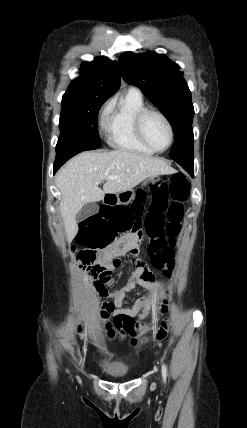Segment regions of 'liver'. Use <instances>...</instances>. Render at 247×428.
Returning <instances> with one entry per match:
<instances>
[{
    "label": "liver",
    "instance_id": "obj_1",
    "mask_svg": "<svg viewBox=\"0 0 247 428\" xmlns=\"http://www.w3.org/2000/svg\"><path fill=\"white\" fill-rule=\"evenodd\" d=\"M174 172L163 159L126 150L86 151L72 158L56 177L68 243L78 232L76 215L84 204L101 201L105 194L129 191L152 176ZM104 180L102 190L99 184Z\"/></svg>",
    "mask_w": 247,
    "mask_h": 428
}]
</instances>
